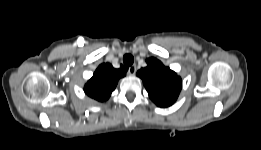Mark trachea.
Returning <instances> with one entry per match:
<instances>
[{"label":"trachea","mask_w":261,"mask_h":150,"mask_svg":"<svg viewBox=\"0 0 261 150\" xmlns=\"http://www.w3.org/2000/svg\"><path fill=\"white\" fill-rule=\"evenodd\" d=\"M123 62L126 66H131L134 62V58L131 54H126L123 57Z\"/></svg>","instance_id":"obj_1"}]
</instances>
